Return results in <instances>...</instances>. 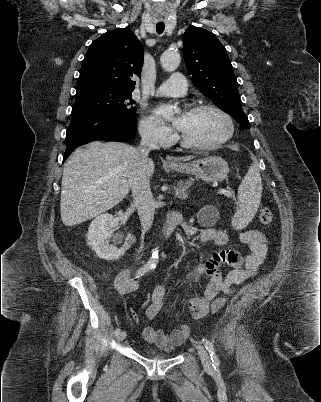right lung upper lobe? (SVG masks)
Wrapping results in <instances>:
<instances>
[{"mask_svg": "<svg viewBox=\"0 0 321 402\" xmlns=\"http://www.w3.org/2000/svg\"><path fill=\"white\" fill-rule=\"evenodd\" d=\"M143 65V47L130 29L104 33L89 47L82 66L78 85H102L132 92Z\"/></svg>", "mask_w": 321, "mask_h": 402, "instance_id": "obj_1", "label": "right lung upper lobe"}]
</instances>
